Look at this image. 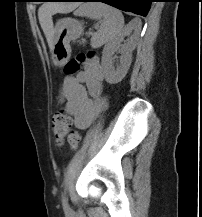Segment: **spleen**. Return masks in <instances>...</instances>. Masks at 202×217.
<instances>
[{"label":"spleen","instance_id":"spleen-1","mask_svg":"<svg viewBox=\"0 0 202 217\" xmlns=\"http://www.w3.org/2000/svg\"><path fill=\"white\" fill-rule=\"evenodd\" d=\"M74 15L101 20L100 28L91 38V46L94 48L111 41L123 30L124 17L122 13L104 3H85L74 12Z\"/></svg>","mask_w":202,"mask_h":217}]
</instances>
